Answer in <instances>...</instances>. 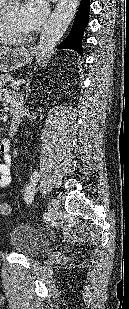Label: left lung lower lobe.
Listing matches in <instances>:
<instances>
[{
  "label": "left lung lower lobe",
  "instance_id": "1",
  "mask_svg": "<svg viewBox=\"0 0 129 309\" xmlns=\"http://www.w3.org/2000/svg\"><path fill=\"white\" fill-rule=\"evenodd\" d=\"M89 4V0H81L71 32L58 49H73L82 54L80 41L88 19Z\"/></svg>",
  "mask_w": 129,
  "mask_h": 309
}]
</instances>
